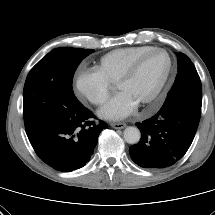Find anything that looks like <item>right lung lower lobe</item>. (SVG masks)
Returning a JSON list of instances; mask_svg holds the SVG:
<instances>
[{
  "label": "right lung lower lobe",
  "mask_w": 215,
  "mask_h": 215,
  "mask_svg": "<svg viewBox=\"0 0 215 215\" xmlns=\"http://www.w3.org/2000/svg\"><path fill=\"white\" fill-rule=\"evenodd\" d=\"M91 118L93 113L81 105L27 135L47 165L61 172L76 170L90 160L100 132L107 127L103 121L96 125Z\"/></svg>",
  "instance_id": "98d812e1"
}]
</instances>
